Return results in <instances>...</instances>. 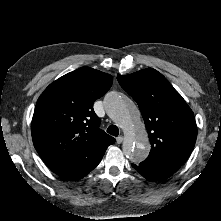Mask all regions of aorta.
<instances>
[{
	"instance_id": "obj_1",
	"label": "aorta",
	"mask_w": 221,
	"mask_h": 221,
	"mask_svg": "<svg viewBox=\"0 0 221 221\" xmlns=\"http://www.w3.org/2000/svg\"><path fill=\"white\" fill-rule=\"evenodd\" d=\"M105 109L123 130V153L133 163L142 162L148 155L150 143L136 105L125 95L109 92L104 99Z\"/></svg>"
}]
</instances>
